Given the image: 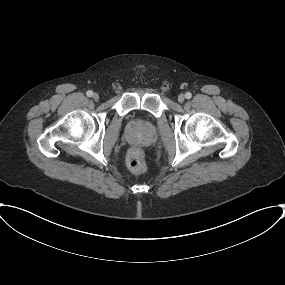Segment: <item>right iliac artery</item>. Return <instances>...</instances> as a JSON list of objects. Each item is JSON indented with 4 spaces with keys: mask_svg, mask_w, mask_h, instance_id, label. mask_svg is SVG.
<instances>
[{
    "mask_svg": "<svg viewBox=\"0 0 285 285\" xmlns=\"http://www.w3.org/2000/svg\"><path fill=\"white\" fill-rule=\"evenodd\" d=\"M86 95H87L88 97H92L93 92H92L91 90H89V91H87Z\"/></svg>",
    "mask_w": 285,
    "mask_h": 285,
    "instance_id": "82829eb1",
    "label": "right iliac artery"
}]
</instances>
